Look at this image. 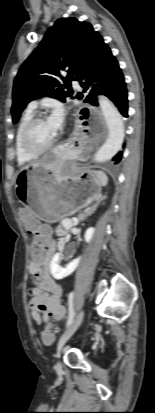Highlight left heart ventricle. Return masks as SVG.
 Instances as JSON below:
<instances>
[{
  "mask_svg": "<svg viewBox=\"0 0 155 413\" xmlns=\"http://www.w3.org/2000/svg\"><path fill=\"white\" fill-rule=\"evenodd\" d=\"M56 134L49 127L47 120L39 122L33 129L32 141L36 146H45L50 143Z\"/></svg>",
  "mask_w": 155,
  "mask_h": 413,
  "instance_id": "obj_1",
  "label": "left heart ventricle"
}]
</instances>
